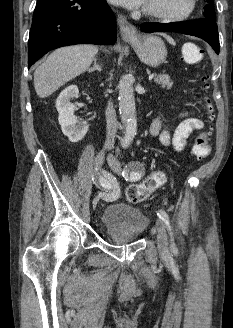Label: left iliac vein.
<instances>
[{
  "label": "left iliac vein",
  "mask_w": 233,
  "mask_h": 328,
  "mask_svg": "<svg viewBox=\"0 0 233 328\" xmlns=\"http://www.w3.org/2000/svg\"><path fill=\"white\" fill-rule=\"evenodd\" d=\"M108 164L111 170L115 174H121L122 167L120 161L112 154H109L107 157ZM156 230H157V244L158 250L162 255H167L168 253V238L165 226L161 219L156 220Z\"/></svg>",
  "instance_id": "left-iliac-vein-1"
}]
</instances>
